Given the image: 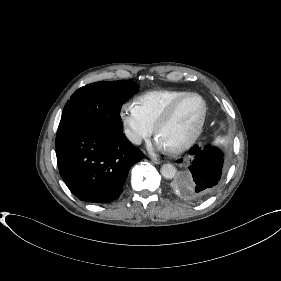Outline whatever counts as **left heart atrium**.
<instances>
[{"label": "left heart atrium", "instance_id": "1", "mask_svg": "<svg viewBox=\"0 0 281 281\" xmlns=\"http://www.w3.org/2000/svg\"><path fill=\"white\" fill-rule=\"evenodd\" d=\"M157 146L163 148V145L157 140Z\"/></svg>", "mask_w": 281, "mask_h": 281}]
</instances>
